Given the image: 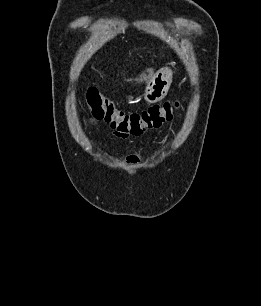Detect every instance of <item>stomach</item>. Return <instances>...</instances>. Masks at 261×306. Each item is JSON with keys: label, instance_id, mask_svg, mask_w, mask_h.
Returning <instances> with one entry per match:
<instances>
[{"label": "stomach", "instance_id": "obj_1", "mask_svg": "<svg viewBox=\"0 0 261 306\" xmlns=\"http://www.w3.org/2000/svg\"><path fill=\"white\" fill-rule=\"evenodd\" d=\"M172 83V71L168 68L159 70L149 81L144 95L148 103H156L166 95Z\"/></svg>", "mask_w": 261, "mask_h": 306}]
</instances>
